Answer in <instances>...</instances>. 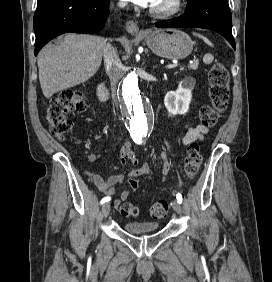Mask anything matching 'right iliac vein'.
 <instances>
[{"instance_id":"right-iliac-vein-1","label":"right iliac vein","mask_w":272,"mask_h":282,"mask_svg":"<svg viewBox=\"0 0 272 282\" xmlns=\"http://www.w3.org/2000/svg\"><path fill=\"white\" fill-rule=\"evenodd\" d=\"M110 213V203H105L102 206V215L107 217Z\"/></svg>"}]
</instances>
